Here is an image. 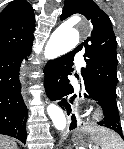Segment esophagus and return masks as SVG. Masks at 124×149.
Masks as SVG:
<instances>
[{
	"label": "esophagus",
	"instance_id": "esophagus-1",
	"mask_svg": "<svg viewBox=\"0 0 124 149\" xmlns=\"http://www.w3.org/2000/svg\"><path fill=\"white\" fill-rule=\"evenodd\" d=\"M72 114H73V108L71 107V109H70V111H69V113H68L67 117L70 119V117L72 116ZM77 125H78V126H80V125H81L80 120H78V121H77Z\"/></svg>",
	"mask_w": 124,
	"mask_h": 149
}]
</instances>
